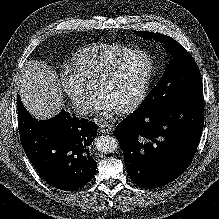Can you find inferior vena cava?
<instances>
[{
    "mask_svg": "<svg viewBox=\"0 0 219 219\" xmlns=\"http://www.w3.org/2000/svg\"><path fill=\"white\" fill-rule=\"evenodd\" d=\"M91 110H92V107L87 102H81V103L76 105V112L78 114L86 115V114L90 113Z\"/></svg>",
    "mask_w": 219,
    "mask_h": 219,
    "instance_id": "602c4592",
    "label": "inferior vena cava"
}]
</instances>
